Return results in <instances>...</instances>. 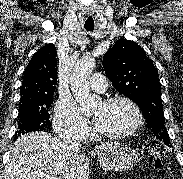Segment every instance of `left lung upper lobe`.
I'll return each instance as SVG.
<instances>
[{"label": "left lung upper lobe", "instance_id": "1", "mask_svg": "<svg viewBox=\"0 0 183 179\" xmlns=\"http://www.w3.org/2000/svg\"><path fill=\"white\" fill-rule=\"evenodd\" d=\"M103 67L115 89L140 107L157 139L170 143L158 70L146 52L133 41L119 39L104 55Z\"/></svg>", "mask_w": 183, "mask_h": 179}]
</instances>
